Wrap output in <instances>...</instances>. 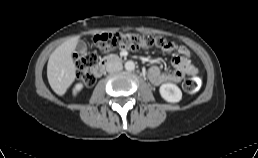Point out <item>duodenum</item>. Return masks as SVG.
<instances>
[{
    "instance_id": "410a0bca",
    "label": "duodenum",
    "mask_w": 258,
    "mask_h": 158,
    "mask_svg": "<svg viewBox=\"0 0 258 158\" xmlns=\"http://www.w3.org/2000/svg\"><path fill=\"white\" fill-rule=\"evenodd\" d=\"M122 59L123 58L121 56H109L103 59L96 66H94V68L92 69V75L95 78L100 77L104 73L107 66L118 63L122 61Z\"/></svg>"
}]
</instances>
